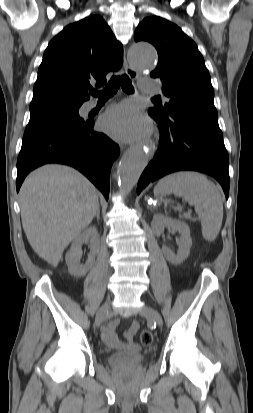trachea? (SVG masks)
I'll return each instance as SVG.
<instances>
[{
  "instance_id": "1",
  "label": "trachea",
  "mask_w": 253,
  "mask_h": 413,
  "mask_svg": "<svg viewBox=\"0 0 253 413\" xmlns=\"http://www.w3.org/2000/svg\"><path fill=\"white\" fill-rule=\"evenodd\" d=\"M120 86L126 93L134 92V87L129 77L127 75H121L113 76L102 91L91 89L90 93L93 96L99 97V99H107L112 97L118 91Z\"/></svg>"
}]
</instances>
